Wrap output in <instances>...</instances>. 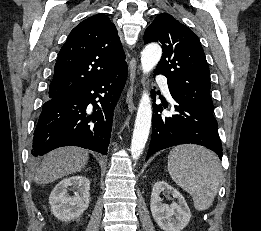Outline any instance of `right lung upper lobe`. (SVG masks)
I'll return each mask as SVG.
<instances>
[{
	"instance_id": "right-lung-upper-lobe-1",
	"label": "right lung upper lobe",
	"mask_w": 261,
	"mask_h": 231,
	"mask_svg": "<svg viewBox=\"0 0 261 231\" xmlns=\"http://www.w3.org/2000/svg\"><path fill=\"white\" fill-rule=\"evenodd\" d=\"M127 65L115 25L105 14L82 21L69 34L55 64L51 99L77 92Z\"/></svg>"
}]
</instances>
